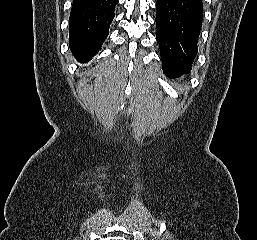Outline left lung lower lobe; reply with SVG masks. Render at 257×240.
I'll return each mask as SVG.
<instances>
[{
    "mask_svg": "<svg viewBox=\"0 0 257 240\" xmlns=\"http://www.w3.org/2000/svg\"><path fill=\"white\" fill-rule=\"evenodd\" d=\"M156 39L163 71L175 77L191 69L203 22L202 0H157Z\"/></svg>",
    "mask_w": 257,
    "mask_h": 240,
    "instance_id": "obj_1",
    "label": "left lung lower lobe"
}]
</instances>
